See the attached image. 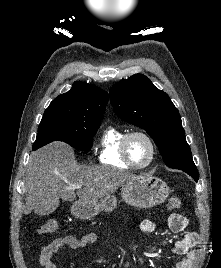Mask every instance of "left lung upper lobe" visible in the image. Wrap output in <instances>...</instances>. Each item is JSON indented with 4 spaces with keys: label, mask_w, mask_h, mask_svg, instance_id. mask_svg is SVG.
<instances>
[{
    "label": "left lung upper lobe",
    "mask_w": 221,
    "mask_h": 268,
    "mask_svg": "<svg viewBox=\"0 0 221 268\" xmlns=\"http://www.w3.org/2000/svg\"><path fill=\"white\" fill-rule=\"evenodd\" d=\"M109 94L117 116L146 130L168 167H195L177 108L150 79L135 74L116 83Z\"/></svg>",
    "instance_id": "obj_1"
}]
</instances>
